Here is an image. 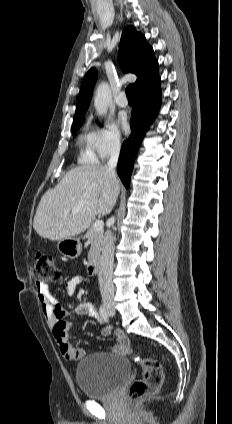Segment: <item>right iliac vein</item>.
I'll return each mask as SVG.
<instances>
[{
  "label": "right iliac vein",
  "instance_id": "63e3f726",
  "mask_svg": "<svg viewBox=\"0 0 232 424\" xmlns=\"http://www.w3.org/2000/svg\"><path fill=\"white\" fill-rule=\"evenodd\" d=\"M106 308H107V310H108V311H110V312H112V311L114 310V307H113V305H111V304H107V305H106Z\"/></svg>",
  "mask_w": 232,
  "mask_h": 424
}]
</instances>
